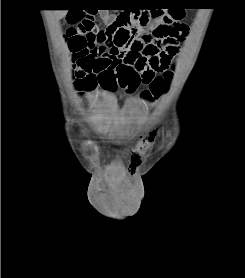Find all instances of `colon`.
I'll list each match as a JSON object with an SVG mask.
<instances>
[{
    "label": "colon",
    "mask_w": 245,
    "mask_h": 278,
    "mask_svg": "<svg viewBox=\"0 0 245 278\" xmlns=\"http://www.w3.org/2000/svg\"><path fill=\"white\" fill-rule=\"evenodd\" d=\"M175 20L183 18L180 10H174L171 14ZM68 26L64 39L71 57L75 60L80 52L89 54L91 57L103 56L104 50L96 48V45L126 48L135 52L141 48H147L150 54H160L166 50L176 52L184 40V35L176 28L170 19L160 21V13L156 8L134 9L121 11L118 16L106 28H99L91 20L84 17L81 11H72L66 15ZM79 31H88L86 39H81ZM91 69L87 65L83 70H75L74 85L78 90L87 89L90 84L85 74ZM172 72L166 71L161 75L146 73L142 77L130 75L121 77L119 88L125 91H134L140 81L148 84V88L142 91L146 100H153L161 96L167 89ZM150 149L147 140H139L135 153L146 154Z\"/></svg>",
    "instance_id": "1"
}]
</instances>
